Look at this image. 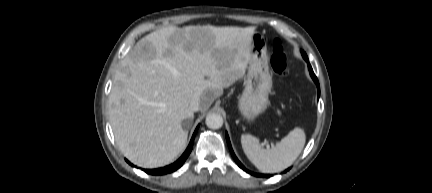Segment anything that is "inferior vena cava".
<instances>
[{"mask_svg": "<svg viewBox=\"0 0 432 193\" xmlns=\"http://www.w3.org/2000/svg\"><path fill=\"white\" fill-rule=\"evenodd\" d=\"M201 108V101L198 97H194L190 102V109L193 112L199 111Z\"/></svg>", "mask_w": 432, "mask_h": 193, "instance_id": "602c4592", "label": "inferior vena cava"}]
</instances>
